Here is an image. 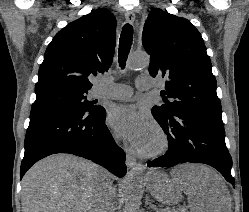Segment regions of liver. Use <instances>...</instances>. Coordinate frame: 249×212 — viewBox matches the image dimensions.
I'll list each match as a JSON object with an SVG mask.
<instances>
[{"label":"liver","mask_w":249,"mask_h":212,"mask_svg":"<svg viewBox=\"0 0 249 212\" xmlns=\"http://www.w3.org/2000/svg\"><path fill=\"white\" fill-rule=\"evenodd\" d=\"M99 170L71 154L40 160L23 176L22 212H92ZM145 178L148 192L161 204H178L183 192L191 212H231L227 186L208 166L180 164L170 176L154 168Z\"/></svg>","instance_id":"obj_1"}]
</instances>
